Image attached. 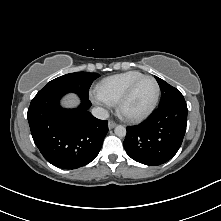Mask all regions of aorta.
<instances>
[{"label": "aorta", "mask_w": 221, "mask_h": 221, "mask_svg": "<svg viewBox=\"0 0 221 221\" xmlns=\"http://www.w3.org/2000/svg\"><path fill=\"white\" fill-rule=\"evenodd\" d=\"M114 132L118 137L126 136V128L122 125H117L114 129Z\"/></svg>", "instance_id": "obj_1"}]
</instances>
